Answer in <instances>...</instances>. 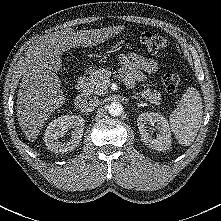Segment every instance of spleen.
I'll return each mask as SVG.
<instances>
[{
	"instance_id": "1",
	"label": "spleen",
	"mask_w": 221,
	"mask_h": 221,
	"mask_svg": "<svg viewBox=\"0 0 221 221\" xmlns=\"http://www.w3.org/2000/svg\"><path fill=\"white\" fill-rule=\"evenodd\" d=\"M203 105L200 93L194 87H188L179 106L169 117L170 127L183 146L192 144L201 126Z\"/></svg>"
}]
</instances>
